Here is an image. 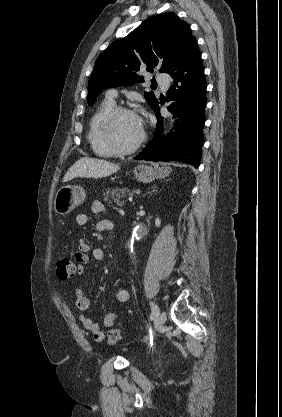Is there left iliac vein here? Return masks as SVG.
<instances>
[{"mask_svg": "<svg viewBox=\"0 0 282 417\" xmlns=\"http://www.w3.org/2000/svg\"><path fill=\"white\" fill-rule=\"evenodd\" d=\"M165 321H166V312L162 311L156 317V320H155L156 327H161L165 323Z\"/></svg>", "mask_w": 282, "mask_h": 417, "instance_id": "obj_1", "label": "left iliac vein"}]
</instances>
